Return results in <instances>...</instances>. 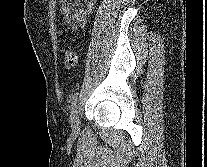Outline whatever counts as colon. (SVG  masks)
I'll return each mask as SVG.
<instances>
[{
	"label": "colon",
	"mask_w": 207,
	"mask_h": 167,
	"mask_svg": "<svg viewBox=\"0 0 207 167\" xmlns=\"http://www.w3.org/2000/svg\"><path fill=\"white\" fill-rule=\"evenodd\" d=\"M78 63V53L74 49H70L65 54L64 69L66 71L75 67Z\"/></svg>",
	"instance_id": "colon-1"
}]
</instances>
